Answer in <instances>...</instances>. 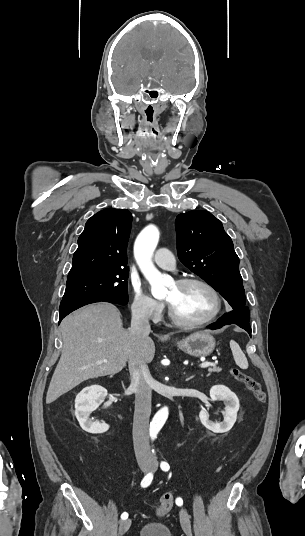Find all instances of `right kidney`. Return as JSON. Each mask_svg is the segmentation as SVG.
Here are the masks:
<instances>
[{
	"instance_id": "obj_1",
	"label": "right kidney",
	"mask_w": 305,
	"mask_h": 536,
	"mask_svg": "<svg viewBox=\"0 0 305 536\" xmlns=\"http://www.w3.org/2000/svg\"><path fill=\"white\" fill-rule=\"evenodd\" d=\"M102 392H106V390L101 388V386H89V388H84V390L76 396L75 414L77 420L81 428H83L85 432H90V434H101V432H104V424H100V422H92L89 418V414H91L93 410H96L100 398L105 396ZM92 402H94V404H92Z\"/></svg>"
}]
</instances>
